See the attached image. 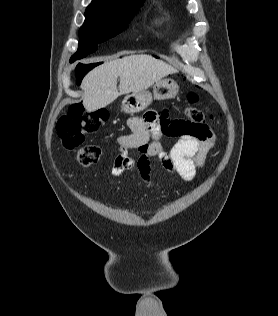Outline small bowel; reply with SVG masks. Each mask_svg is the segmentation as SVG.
I'll list each match as a JSON object with an SVG mask.
<instances>
[{"label":"small bowel","mask_w":278,"mask_h":316,"mask_svg":"<svg viewBox=\"0 0 278 316\" xmlns=\"http://www.w3.org/2000/svg\"><path fill=\"white\" fill-rule=\"evenodd\" d=\"M177 122L167 119L166 113L159 115L152 110L143 117L129 118L127 125L131 133L122 135L117 140L119 154L113 162L112 175L119 177L127 170L136 169L140 179L150 185L151 161L154 159L168 173L185 181L193 180L214 148L215 135L208 126L199 135H172L170 131ZM163 135L179 136V139L169 150H165L161 143ZM132 149L139 152L138 157L129 154Z\"/></svg>","instance_id":"c3829d8e"}]
</instances>
